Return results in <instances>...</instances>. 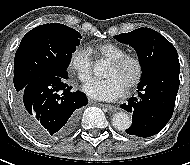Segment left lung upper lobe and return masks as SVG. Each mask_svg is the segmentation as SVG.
I'll return each instance as SVG.
<instances>
[{
  "label": "left lung upper lobe",
  "instance_id": "1",
  "mask_svg": "<svg viewBox=\"0 0 190 165\" xmlns=\"http://www.w3.org/2000/svg\"><path fill=\"white\" fill-rule=\"evenodd\" d=\"M115 38L136 50L142 68L141 78L158 68L180 65L174 46L153 29L139 28Z\"/></svg>",
  "mask_w": 190,
  "mask_h": 165
}]
</instances>
